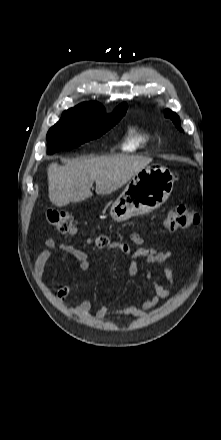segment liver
Wrapping results in <instances>:
<instances>
[{
  "label": "liver",
  "instance_id": "obj_1",
  "mask_svg": "<svg viewBox=\"0 0 221 440\" xmlns=\"http://www.w3.org/2000/svg\"><path fill=\"white\" fill-rule=\"evenodd\" d=\"M150 159L135 156H102L72 160L60 166L52 163L47 169L49 199L57 207L90 198L93 182L98 195L110 194L144 169Z\"/></svg>",
  "mask_w": 221,
  "mask_h": 440
}]
</instances>
